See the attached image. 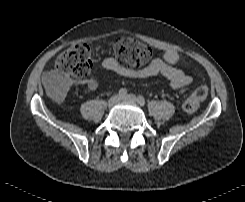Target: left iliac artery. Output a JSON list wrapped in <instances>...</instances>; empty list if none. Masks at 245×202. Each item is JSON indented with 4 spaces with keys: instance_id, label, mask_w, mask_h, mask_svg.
Listing matches in <instances>:
<instances>
[{
    "instance_id": "44dca946",
    "label": "left iliac artery",
    "mask_w": 245,
    "mask_h": 202,
    "mask_svg": "<svg viewBox=\"0 0 245 202\" xmlns=\"http://www.w3.org/2000/svg\"><path fill=\"white\" fill-rule=\"evenodd\" d=\"M138 102L141 106H144L145 105V99L142 95H139L138 96Z\"/></svg>"
}]
</instances>
